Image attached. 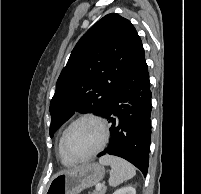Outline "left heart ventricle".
<instances>
[{
  "mask_svg": "<svg viewBox=\"0 0 201 194\" xmlns=\"http://www.w3.org/2000/svg\"><path fill=\"white\" fill-rule=\"evenodd\" d=\"M102 140L100 126L90 120L75 124L67 134L66 152L73 157H82L94 151Z\"/></svg>",
  "mask_w": 201,
  "mask_h": 194,
  "instance_id": "1",
  "label": "left heart ventricle"
}]
</instances>
